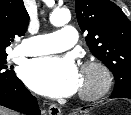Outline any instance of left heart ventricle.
Returning <instances> with one entry per match:
<instances>
[{"mask_svg": "<svg viewBox=\"0 0 131 115\" xmlns=\"http://www.w3.org/2000/svg\"><path fill=\"white\" fill-rule=\"evenodd\" d=\"M98 82V74L95 71H88L81 76L80 89L94 87Z\"/></svg>", "mask_w": 131, "mask_h": 115, "instance_id": "left-heart-ventricle-1", "label": "left heart ventricle"}]
</instances>
